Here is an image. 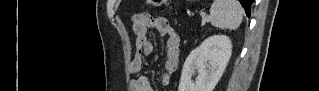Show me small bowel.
I'll list each match as a JSON object with an SVG mask.
<instances>
[{
  "label": "small bowel",
  "mask_w": 319,
  "mask_h": 91,
  "mask_svg": "<svg viewBox=\"0 0 319 91\" xmlns=\"http://www.w3.org/2000/svg\"><path fill=\"white\" fill-rule=\"evenodd\" d=\"M153 29L166 37L165 59L161 82L167 85L176 71L180 55V36L164 17L149 13H138L133 17V32L136 38V51L130 62V72L135 74L142 69L143 57L153 53V44L148 30ZM133 91H153L146 76L139 75L131 80Z\"/></svg>",
  "instance_id": "1"
}]
</instances>
